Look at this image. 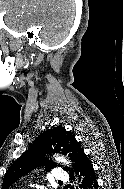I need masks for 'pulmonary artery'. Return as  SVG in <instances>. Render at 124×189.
Masks as SVG:
<instances>
[{
	"mask_svg": "<svg viewBox=\"0 0 124 189\" xmlns=\"http://www.w3.org/2000/svg\"><path fill=\"white\" fill-rule=\"evenodd\" d=\"M53 179L57 181H66L67 174L61 168H55L52 173Z\"/></svg>",
	"mask_w": 124,
	"mask_h": 189,
	"instance_id": "pulmonary-artery-1",
	"label": "pulmonary artery"
}]
</instances>
